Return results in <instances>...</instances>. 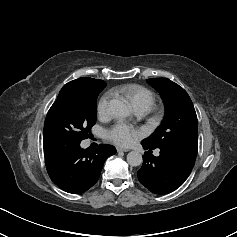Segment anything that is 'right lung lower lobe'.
I'll list each match as a JSON object with an SVG mask.
<instances>
[{
	"mask_svg": "<svg viewBox=\"0 0 237 237\" xmlns=\"http://www.w3.org/2000/svg\"><path fill=\"white\" fill-rule=\"evenodd\" d=\"M43 147L51 180L68 193H83L98 180L105 160L116 153L110 145L82 149L80 142L44 136Z\"/></svg>",
	"mask_w": 237,
	"mask_h": 237,
	"instance_id": "1",
	"label": "right lung lower lobe"
}]
</instances>
